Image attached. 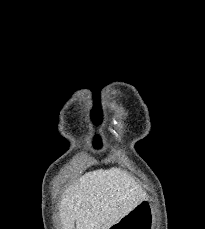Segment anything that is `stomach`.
Returning <instances> with one entry per match:
<instances>
[{"mask_svg":"<svg viewBox=\"0 0 205 229\" xmlns=\"http://www.w3.org/2000/svg\"><path fill=\"white\" fill-rule=\"evenodd\" d=\"M154 214L148 202L136 205L110 229H153Z\"/></svg>","mask_w":205,"mask_h":229,"instance_id":"1","label":"stomach"}]
</instances>
